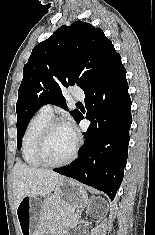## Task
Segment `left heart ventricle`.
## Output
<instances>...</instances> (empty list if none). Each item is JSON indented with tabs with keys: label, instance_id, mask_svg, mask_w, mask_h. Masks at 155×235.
I'll return each instance as SVG.
<instances>
[{
	"label": "left heart ventricle",
	"instance_id": "obj_1",
	"mask_svg": "<svg viewBox=\"0 0 155 235\" xmlns=\"http://www.w3.org/2000/svg\"><path fill=\"white\" fill-rule=\"evenodd\" d=\"M75 145V136L64 125L56 126L46 145V156L50 161L57 162L67 158Z\"/></svg>",
	"mask_w": 155,
	"mask_h": 235
}]
</instances>
